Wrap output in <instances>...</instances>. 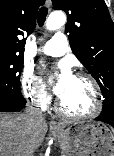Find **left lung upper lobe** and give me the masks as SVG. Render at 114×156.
<instances>
[{
    "label": "left lung upper lobe",
    "instance_id": "obj_1",
    "mask_svg": "<svg viewBox=\"0 0 114 156\" xmlns=\"http://www.w3.org/2000/svg\"><path fill=\"white\" fill-rule=\"evenodd\" d=\"M67 14L70 47L99 84L101 113L114 114V23L104 0H52Z\"/></svg>",
    "mask_w": 114,
    "mask_h": 156
}]
</instances>
